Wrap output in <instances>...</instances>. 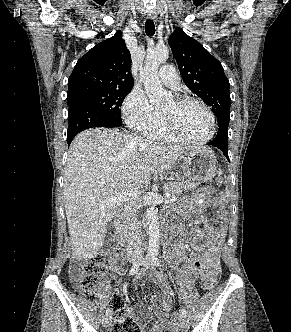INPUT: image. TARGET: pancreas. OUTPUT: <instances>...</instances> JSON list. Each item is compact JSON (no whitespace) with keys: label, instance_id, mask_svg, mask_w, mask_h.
<instances>
[{"label":"pancreas","instance_id":"obj_1","mask_svg":"<svg viewBox=\"0 0 291 332\" xmlns=\"http://www.w3.org/2000/svg\"><path fill=\"white\" fill-rule=\"evenodd\" d=\"M199 186V183L196 182H189V181H183V182H171L168 184H165L163 187L164 195L166 199H170L176 196H179L184 191L194 190ZM135 207H140V204H136ZM123 223L126 225L127 223V212L123 216Z\"/></svg>","mask_w":291,"mask_h":332}]
</instances>
